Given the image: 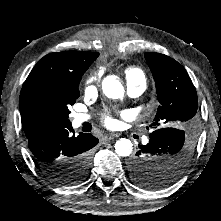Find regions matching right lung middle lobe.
I'll return each mask as SVG.
<instances>
[{
	"label": "right lung middle lobe",
	"instance_id": "dd1d6c3e",
	"mask_svg": "<svg viewBox=\"0 0 221 221\" xmlns=\"http://www.w3.org/2000/svg\"><path fill=\"white\" fill-rule=\"evenodd\" d=\"M86 70L87 68L60 79L38 81L20 94V112L26 126L33 128L70 124L68 107L80 96L78 86ZM66 168L76 172L82 180L89 169L83 158L70 161Z\"/></svg>",
	"mask_w": 221,
	"mask_h": 221
}]
</instances>
